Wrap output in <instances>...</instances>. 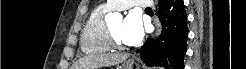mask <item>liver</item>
<instances>
[{
    "label": "liver",
    "mask_w": 246,
    "mask_h": 69,
    "mask_svg": "<svg viewBox=\"0 0 246 69\" xmlns=\"http://www.w3.org/2000/svg\"><path fill=\"white\" fill-rule=\"evenodd\" d=\"M129 57L128 54H101L85 56L73 66V69H97L98 67H109L122 63Z\"/></svg>",
    "instance_id": "6515ba94"
}]
</instances>
